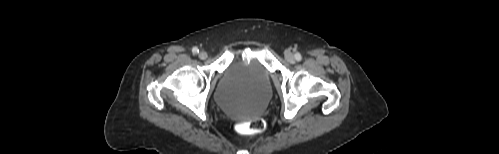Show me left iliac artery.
I'll list each match as a JSON object with an SVG mask.
<instances>
[{"mask_svg":"<svg viewBox=\"0 0 499 154\" xmlns=\"http://www.w3.org/2000/svg\"><path fill=\"white\" fill-rule=\"evenodd\" d=\"M295 59H296L297 61H301V59H302L301 54H300V53H296V54H295Z\"/></svg>","mask_w":499,"mask_h":154,"instance_id":"left-iliac-artery-1","label":"left iliac artery"}]
</instances>
